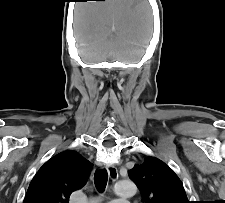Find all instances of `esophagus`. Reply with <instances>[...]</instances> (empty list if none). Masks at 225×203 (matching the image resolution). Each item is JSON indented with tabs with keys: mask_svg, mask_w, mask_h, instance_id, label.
<instances>
[{
	"mask_svg": "<svg viewBox=\"0 0 225 203\" xmlns=\"http://www.w3.org/2000/svg\"><path fill=\"white\" fill-rule=\"evenodd\" d=\"M107 171H108L109 176L112 179V181L117 180V178H118V171H117V168L115 166H108L107 167Z\"/></svg>",
	"mask_w": 225,
	"mask_h": 203,
	"instance_id": "1",
	"label": "esophagus"
}]
</instances>
